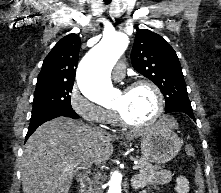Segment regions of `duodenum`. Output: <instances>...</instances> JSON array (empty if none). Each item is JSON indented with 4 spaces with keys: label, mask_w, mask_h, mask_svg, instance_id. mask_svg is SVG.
I'll return each instance as SVG.
<instances>
[{
    "label": "duodenum",
    "mask_w": 221,
    "mask_h": 193,
    "mask_svg": "<svg viewBox=\"0 0 221 193\" xmlns=\"http://www.w3.org/2000/svg\"><path fill=\"white\" fill-rule=\"evenodd\" d=\"M80 192L91 193V180L88 175H83L80 178Z\"/></svg>",
    "instance_id": "duodenum-1"
}]
</instances>
